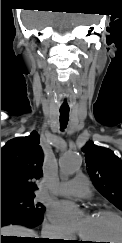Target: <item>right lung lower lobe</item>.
Masks as SVG:
<instances>
[{"mask_svg":"<svg viewBox=\"0 0 122 243\" xmlns=\"http://www.w3.org/2000/svg\"><path fill=\"white\" fill-rule=\"evenodd\" d=\"M43 221V216H36L32 213L21 211L18 209L1 208V227L10 224L24 225L29 228H34L40 225ZM25 243H54L46 239H23Z\"/></svg>","mask_w":122,"mask_h":243,"instance_id":"98d812e1","label":"right lung lower lobe"}]
</instances>
